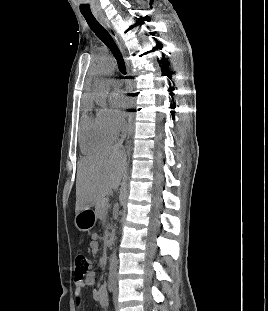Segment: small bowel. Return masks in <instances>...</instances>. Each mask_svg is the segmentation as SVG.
<instances>
[{"label":"small bowel","instance_id":"small-bowel-1","mask_svg":"<svg viewBox=\"0 0 268 311\" xmlns=\"http://www.w3.org/2000/svg\"><path fill=\"white\" fill-rule=\"evenodd\" d=\"M99 236L92 234L91 240L88 244L89 250L93 255H96L99 251ZM96 282V274L94 271H89L84 280L75 282L74 300L77 306L81 304L82 292L86 288H91ZM96 301L100 309H105L108 306V294L105 286H100L96 291Z\"/></svg>","mask_w":268,"mask_h":311}]
</instances>
